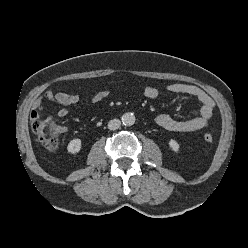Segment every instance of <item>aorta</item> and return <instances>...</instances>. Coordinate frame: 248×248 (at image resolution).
<instances>
[{
	"label": "aorta",
	"mask_w": 248,
	"mask_h": 248,
	"mask_svg": "<svg viewBox=\"0 0 248 248\" xmlns=\"http://www.w3.org/2000/svg\"><path fill=\"white\" fill-rule=\"evenodd\" d=\"M122 123L125 126H132L135 123V116L133 113L127 112L122 115Z\"/></svg>",
	"instance_id": "1"
}]
</instances>
